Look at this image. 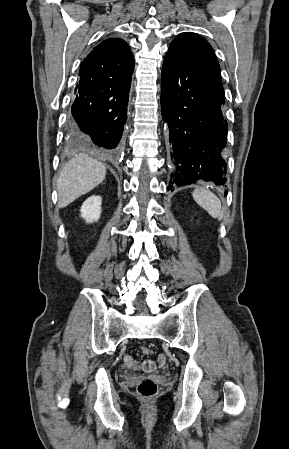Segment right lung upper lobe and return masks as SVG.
<instances>
[{
  "label": "right lung upper lobe",
  "mask_w": 289,
  "mask_h": 449,
  "mask_svg": "<svg viewBox=\"0 0 289 449\" xmlns=\"http://www.w3.org/2000/svg\"><path fill=\"white\" fill-rule=\"evenodd\" d=\"M134 65L129 45L120 38L102 41L81 63L79 75L87 78L111 76Z\"/></svg>",
  "instance_id": "cb5924a9"
}]
</instances>
